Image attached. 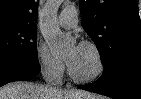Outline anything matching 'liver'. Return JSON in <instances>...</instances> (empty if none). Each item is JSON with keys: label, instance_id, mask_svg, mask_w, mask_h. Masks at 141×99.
<instances>
[{"label": "liver", "instance_id": "liver-1", "mask_svg": "<svg viewBox=\"0 0 141 99\" xmlns=\"http://www.w3.org/2000/svg\"><path fill=\"white\" fill-rule=\"evenodd\" d=\"M0 99H98L83 90H60L55 87L17 81L0 88Z\"/></svg>", "mask_w": 141, "mask_h": 99}]
</instances>
